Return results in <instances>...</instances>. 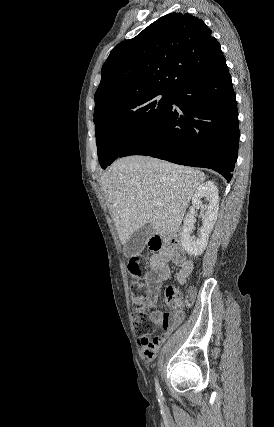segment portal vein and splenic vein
I'll return each instance as SVG.
<instances>
[{"mask_svg": "<svg viewBox=\"0 0 274 427\" xmlns=\"http://www.w3.org/2000/svg\"><path fill=\"white\" fill-rule=\"evenodd\" d=\"M156 206H160L159 202H155Z\"/></svg>", "mask_w": 274, "mask_h": 427, "instance_id": "obj_1", "label": "portal vein and splenic vein"}]
</instances>
